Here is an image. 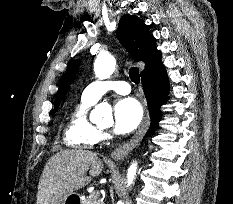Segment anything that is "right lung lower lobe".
Listing matches in <instances>:
<instances>
[{
    "mask_svg": "<svg viewBox=\"0 0 233 204\" xmlns=\"http://www.w3.org/2000/svg\"><path fill=\"white\" fill-rule=\"evenodd\" d=\"M141 82L148 102L152 122L145 135L153 133L161 119L160 106L166 101L169 89L168 78L163 64L141 75Z\"/></svg>",
    "mask_w": 233,
    "mask_h": 204,
    "instance_id": "98d812e1",
    "label": "right lung lower lobe"
}]
</instances>
